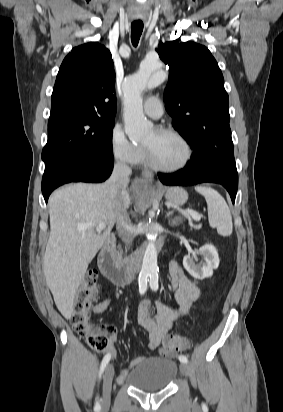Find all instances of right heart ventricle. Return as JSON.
Masks as SVG:
<instances>
[{
  "mask_svg": "<svg viewBox=\"0 0 283 412\" xmlns=\"http://www.w3.org/2000/svg\"><path fill=\"white\" fill-rule=\"evenodd\" d=\"M137 162L138 163H144L145 162L144 152H143L142 149H141V154H140Z\"/></svg>",
  "mask_w": 283,
  "mask_h": 412,
  "instance_id": "e07e8e85",
  "label": "right heart ventricle"
}]
</instances>
